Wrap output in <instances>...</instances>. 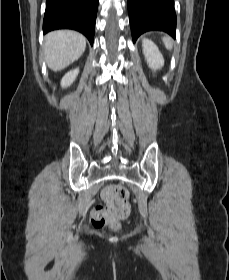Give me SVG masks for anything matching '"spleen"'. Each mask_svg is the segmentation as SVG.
Instances as JSON below:
<instances>
[{"mask_svg":"<svg viewBox=\"0 0 229 280\" xmlns=\"http://www.w3.org/2000/svg\"><path fill=\"white\" fill-rule=\"evenodd\" d=\"M163 42H164L167 49H169V50L172 49L173 41L170 37H168V36L163 37Z\"/></svg>","mask_w":229,"mask_h":280,"instance_id":"1","label":"spleen"}]
</instances>
